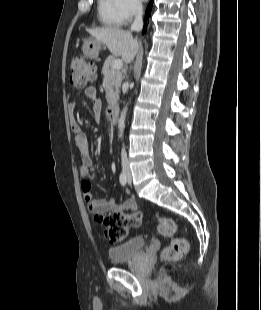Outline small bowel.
Instances as JSON below:
<instances>
[{
	"label": "small bowel",
	"instance_id": "obj_1",
	"mask_svg": "<svg viewBox=\"0 0 261 310\" xmlns=\"http://www.w3.org/2000/svg\"><path fill=\"white\" fill-rule=\"evenodd\" d=\"M85 94L93 101L94 110L98 113L101 109V101L97 96L95 87H87ZM68 108L73 112L75 109V103H69ZM71 129L79 153V174L82 177L81 190L90 212L95 214L97 220L106 213H121L123 211L134 212L136 210V202L133 199H128L119 204L113 197L102 199H95L93 197L91 192V180L94 178L95 169L90 158L89 140L86 134L80 130L79 126L74 121H71ZM139 222L141 223V221Z\"/></svg>",
	"mask_w": 261,
	"mask_h": 310
}]
</instances>
